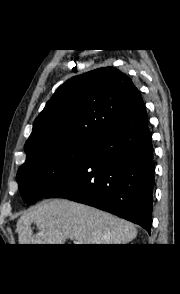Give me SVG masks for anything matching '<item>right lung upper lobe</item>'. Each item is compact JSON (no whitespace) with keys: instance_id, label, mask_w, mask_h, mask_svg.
Returning <instances> with one entry per match:
<instances>
[{"instance_id":"1","label":"right lung upper lobe","mask_w":180,"mask_h":294,"mask_svg":"<svg viewBox=\"0 0 180 294\" xmlns=\"http://www.w3.org/2000/svg\"><path fill=\"white\" fill-rule=\"evenodd\" d=\"M143 103L132 81L113 67L75 76L56 90L35 119L26 159L65 142H96Z\"/></svg>"}]
</instances>
